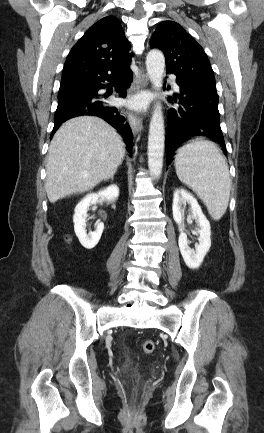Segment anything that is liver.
<instances>
[{"mask_svg":"<svg viewBox=\"0 0 264 433\" xmlns=\"http://www.w3.org/2000/svg\"><path fill=\"white\" fill-rule=\"evenodd\" d=\"M124 155L121 136L104 120L70 119L49 147L45 189L50 203L91 190L116 172Z\"/></svg>","mask_w":264,"mask_h":433,"instance_id":"6515ba94","label":"liver"}]
</instances>
